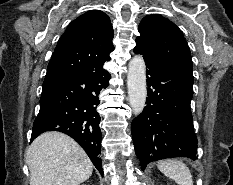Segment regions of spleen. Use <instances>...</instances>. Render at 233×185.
I'll use <instances>...</instances> for the list:
<instances>
[{
	"label": "spleen",
	"instance_id": "spleen-1",
	"mask_svg": "<svg viewBox=\"0 0 233 185\" xmlns=\"http://www.w3.org/2000/svg\"><path fill=\"white\" fill-rule=\"evenodd\" d=\"M158 169L178 185H193L190 169L185 163L177 159L159 161Z\"/></svg>",
	"mask_w": 233,
	"mask_h": 185
}]
</instances>
